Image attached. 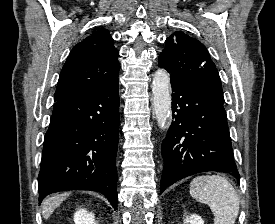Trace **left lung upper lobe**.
<instances>
[{
  "label": "left lung upper lobe",
  "mask_w": 275,
  "mask_h": 224,
  "mask_svg": "<svg viewBox=\"0 0 275 224\" xmlns=\"http://www.w3.org/2000/svg\"><path fill=\"white\" fill-rule=\"evenodd\" d=\"M165 43L159 66L171 74V83L193 84L223 98L217 68L200 41L177 31Z\"/></svg>",
  "instance_id": "left-lung-upper-lobe-1"
}]
</instances>
